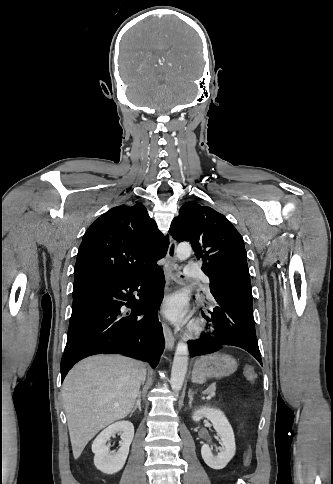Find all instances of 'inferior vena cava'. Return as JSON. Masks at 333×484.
<instances>
[{
	"label": "inferior vena cava",
	"mask_w": 333,
	"mask_h": 484,
	"mask_svg": "<svg viewBox=\"0 0 333 484\" xmlns=\"http://www.w3.org/2000/svg\"><path fill=\"white\" fill-rule=\"evenodd\" d=\"M144 379H145V372L142 375V380H144Z\"/></svg>",
	"instance_id": "1"
}]
</instances>
